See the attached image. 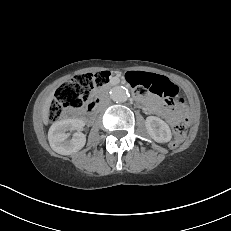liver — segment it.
Listing matches in <instances>:
<instances>
[{
	"label": "liver",
	"mask_w": 231,
	"mask_h": 231,
	"mask_svg": "<svg viewBox=\"0 0 231 231\" xmlns=\"http://www.w3.org/2000/svg\"><path fill=\"white\" fill-rule=\"evenodd\" d=\"M54 98V91H52L49 96L46 98L43 107H42V118H43V122L44 124H48L49 121V110H50V106H51V102Z\"/></svg>",
	"instance_id": "1"
}]
</instances>
